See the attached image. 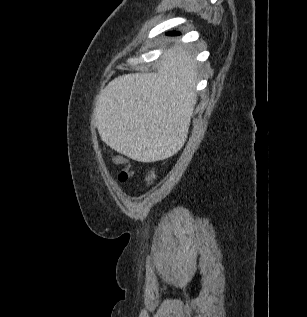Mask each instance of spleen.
<instances>
[{
	"mask_svg": "<svg viewBox=\"0 0 307 317\" xmlns=\"http://www.w3.org/2000/svg\"><path fill=\"white\" fill-rule=\"evenodd\" d=\"M196 75L183 60L167 75L128 74L110 82L96 108L102 140L133 160L179 155L196 103Z\"/></svg>",
	"mask_w": 307,
	"mask_h": 317,
	"instance_id": "1",
	"label": "spleen"
}]
</instances>
